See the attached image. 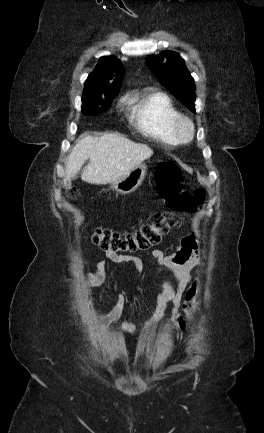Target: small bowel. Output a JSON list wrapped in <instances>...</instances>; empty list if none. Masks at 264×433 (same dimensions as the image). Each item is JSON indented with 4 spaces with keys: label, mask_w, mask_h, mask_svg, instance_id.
Segmentation results:
<instances>
[{
    "label": "small bowel",
    "mask_w": 264,
    "mask_h": 433,
    "mask_svg": "<svg viewBox=\"0 0 264 433\" xmlns=\"http://www.w3.org/2000/svg\"><path fill=\"white\" fill-rule=\"evenodd\" d=\"M148 255L155 259L159 266L173 273L178 280V286L175 289L171 282L164 280L161 284V293L153 297V309L149 317L142 324H137L135 320H125L120 324L119 329L128 334L150 329L161 320L170 304L175 323V333L180 335L185 327V321L178 313V306L191 280L192 270L200 263L201 251L199 243L194 235H189L180 239L179 247L173 254L166 255L160 250H154ZM105 258L120 266L133 264L137 272L141 273L143 271V263L139 257L106 252ZM81 279L88 285H101L106 279V260L101 259L97 263L96 271L82 275ZM126 302V294L124 292L118 293L113 309L103 318V322L109 326L117 322Z\"/></svg>",
    "instance_id": "c3829d8e"
}]
</instances>
